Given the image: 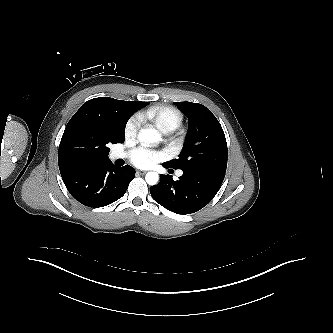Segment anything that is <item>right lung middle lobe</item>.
Returning <instances> with one entry per match:
<instances>
[{"mask_svg": "<svg viewBox=\"0 0 333 333\" xmlns=\"http://www.w3.org/2000/svg\"><path fill=\"white\" fill-rule=\"evenodd\" d=\"M146 105H148V102L145 104V106ZM132 114H133V112L125 111L118 117V125L121 128L123 134H122V137L119 140H117L116 143H123L124 142V140H125V136H124L125 126H126V123H127L128 119L130 118V116Z\"/></svg>", "mask_w": 333, "mask_h": 333, "instance_id": "dd1d6c3e", "label": "right lung middle lobe"}]
</instances>
